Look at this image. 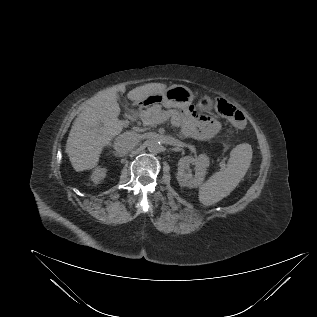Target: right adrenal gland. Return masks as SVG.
<instances>
[{
	"label": "right adrenal gland",
	"mask_w": 317,
	"mask_h": 317,
	"mask_svg": "<svg viewBox=\"0 0 317 317\" xmlns=\"http://www.w3.org/2000/svg\"><path fill=\"white\" fill-rule=\"evenodd\" d=\"M113 154L116 156V157H121V155H119L117 152L113 151Z\"/></svg>",
	"instance_id": "right-adrenal-gland-1"
}]
</instances>
